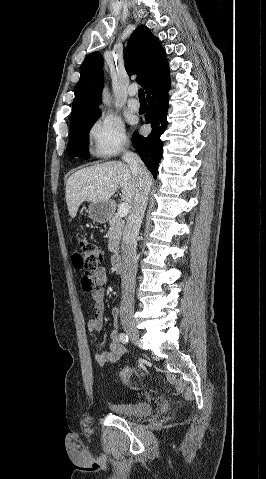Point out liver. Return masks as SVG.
<instances>
[{"instance_id": "6515ba94", "label": "liver", "mask_w": 266, "mask_h": 479, "mask_svg": "<svg viewBox=\"0 0 266 479\" xmlns=\"http://www.w3.org/2000/svg\"><path fill=\"white\" fill-rule=\"evenodd\" d=\"M135 184L129 165L120 161L80 169L66 183L65 198L69 214L74 218L84 201L108 202L118 188H121L122 200L131 210L135 201Z\"/></svg>"}]
</instances>
